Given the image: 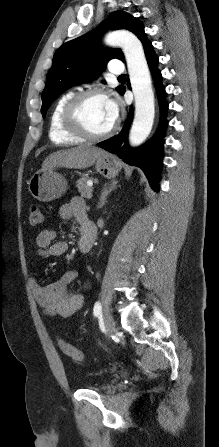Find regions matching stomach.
Wrapping results in <instances>:
<instances>
[{"label": "stomach", "instance_id": "1", "mask_svg": "<svg viewBox=\"0 0 219 447\" xmlns=\"http://www.w3.org/2000/svg\"><path fill=\"white\" fill-rule=\"evenodd\" d=\"M95 169L107 179L115 178L120 172V164L115 156L104 153L95 161ZM66 179L55 168L37 171L28 182L31 195L43 202L60 198L67 190Z\"/></svg>", "mask_w": 219, "mask_h": 447}]
</instances>
